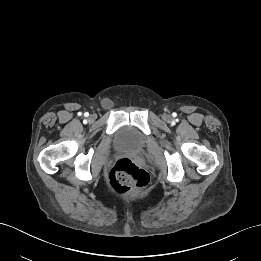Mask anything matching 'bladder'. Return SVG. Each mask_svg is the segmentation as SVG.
<instances>
[{"mask_svg":"<svg viewBox=\"0 0 261 261\" xmlns=\"http://www.w3.org/2000/svg\"><path fill=\"white\" fill-rule=\"evenodd\" d=\"M114 144L118 149L136 152L144 147L145 139L136 127L125 125L116 131Z\"/></svg>","mask_w":261,"mask_h":261,"instance_id":"bladder-1","label":"bladder"}]
</instances>
